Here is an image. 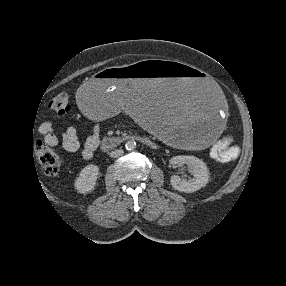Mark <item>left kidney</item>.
<instances>
[{
  "mask_svg": "<svg viewBox=\"0 0 286 286\" xmlns=\"http://www.w3.org/2000/svg\"><path fill=\"white\" fill-rule=\"evenodd\" d=\"M170 164L173 166H182L186 164L193 175L188 180H182L179 176L171 177V185L175 190L185 193L195 192L202 187H205L209 180L208 169L206 164L194 156H175L170 159Z\"/></svg>",
  "mask_w": 286,
  "mask_h": 286,
  "instance_id": "5707ae66",
  "label": "left kidney"
}]
</instances>
